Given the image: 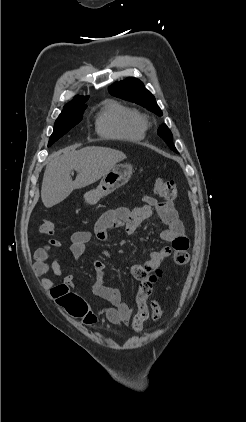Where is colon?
Listing matches in <instances>:
<instances>
[{"label": "colon", "instance_id": "1", "mask_svg": "<svg viewBox=\"0 0 246 422\" xmlns=\"http://www.w3.org/2000/svg\"><path fill=\"white\" fill-rule=\"evenodd\" d=\"M155 191L167 200H174L178 196V187L171 180L157 179ZM56 226L50 220H44L40 225V231L44 234L51 235L55 232ZM172 260L177 265H184L188 261V253L183 250H177L172 255ZM162 272L156 270L140 280L136 295L137 312L133 317L132 327L135 331H141L144 324L150 318L158 321L163 316V310L159 303L151 298L153 288Z\"/></svg>", "mask_w": 246, "mask_h": 422}]
</instances>
